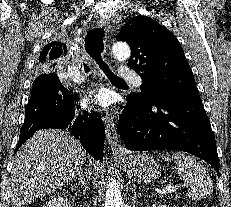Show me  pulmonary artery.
Returning <instances> with one entry per match:
<instances>
[{
	"instance_id": "e3ab8cb5",
	"label": "pulmonary artery",
	"mask_w": 231,
	"mask_h": 207,
	"mask_svg": "<svg viewBox=\"0 0 231 207\" xmlns=\"http://www.w3.org/2000/svg\"><path fill=\"white\" fill-rule=\"evenodd\" d=\"M69 76L75 82H81L84 79L83 76L74 73V68H71ZM118 77L124 81L131 82L137 88H140L143 85L142 78L135 71L127 68L119 69Z\"/></svg>"
}]
</instances>
